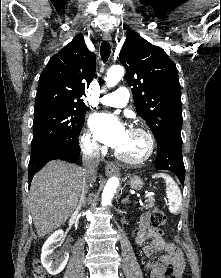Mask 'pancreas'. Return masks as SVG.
<instances>
[{
  "mask_svg": "<svg viewBox=\"0 0 221 278\" xmlns=\"http://www.w3.org/2000/svg\"><path fill=\"white\" fill-rule=\"evenodd\" d=\"M153 207H154V198L153 197H149L146 200V205H144L142 207V209L147 210V209H150V208H153Z\"/></svg>",
  "mask_w": 221,
  "mask_h": 278,
  "instance_id": "obj_1",
  "label": "pancreas"
}]
</instances>
